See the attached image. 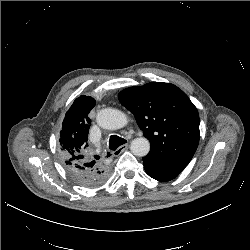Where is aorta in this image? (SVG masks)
I'll return each instance as SVG.
<instances>
[{"label":"aorta","instance_id":"762f6f07","mask_svg":"<svg viewBox=\"0 0 250 250\" xmlns=\"http://www.w3.org/2000/svg\"><path fill=\"white\" fill-rule=\"evenodd\" d=\"M96 121L104 129L116 130L127 124L126 115L113 108H105L98 112ZM130 150L135 156H146L150 151V143L145 137H139L132 140Z\"/></svg>","mask_w":250,"mask_h":250}]
</instances>
